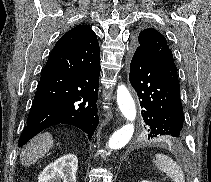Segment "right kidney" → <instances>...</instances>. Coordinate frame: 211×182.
Returning a JSON list of instances; mask_svg holds the SVG:
<instances>
[{
    "mask_svg": "<svg viewBox=\"0 0 211 182\" xmlns=\"http://www.w3.org/2000/svg\"><path fill=\"white\" fill-rule=\"evenodd\" d=\"M78 159L66 154L47 165L38 177V182H76Z\"/></svg>",
    "mask_w": 211,
    "mask_h": 182,
    "instance_id": "ca27d5eb",
    "label": "right kidney"
}]
</instances>
